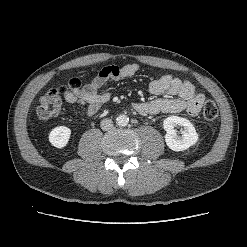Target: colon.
Instances as JSON below:
<instances>
[{"instance_id": "1", "label": "colon", "mask_w": 247, "mask_h": 247, "mask_svg": "<svg viewBox=\"0 0 247 247\" xmlns=\"http://www.w3.org/2000/svg\"><path fill=\"white\" fill-rule=\"evenodd\" d=\"M80 86L81 80L78 78H73L69 82V87L71 89H78ZM61 105V91L59 89H51L40 98L37 107V115L43 120L52 119L59 115ZM202 114L208 121L216 119L218 116L217 105L211 100L206 101L203 106Z\"/></svg>"}]
</instances>
